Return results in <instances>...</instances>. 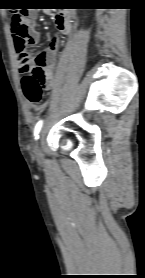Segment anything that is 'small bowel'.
<instances>
[{
    "label": "small bowel",
    "instance_id": "small-bowel-1",
    "mask_svg": "<svg viewBox=\"0 0 145 278\" xmlns=\"http://www.w3.org/2000/svg\"><path fill=\"white\" fill-rule=\"evenodd\" d=\"M38 16V10L35 7H31L28 10V18H29V25L30 29L28 31V37H27V43L29 45L35 46L40 41V32L36 27V18ZM56 26L60 32L63 34H72L74 31V24L70 20L69 16L66 14L60 13L56 16ZM14 45H15V38L12 34ZM59 39L57 37H54L48 47L45 51L40 52L39 54L43 55V57L46 60V66H45V74H46V80H45V89H50L54 85V76L53 71L56 66V53L59 47ZM16 49V45H15ZM17 53V51H16ZM17 60H18V67L21 72H30L35 67V61L34 59L28 57L25 53L18 54L17 53Z\"/></svg>",
    "mask_w": 145,
    "mask_h": 278
}]
</instances>
